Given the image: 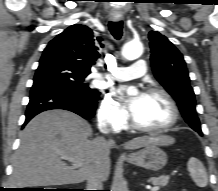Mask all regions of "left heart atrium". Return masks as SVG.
I'll return each mask as SVG.
<instances>
[{"mask_svg":"<svg viewBox=\"0 0 218 191\" xmlns=\"http://www.w3.org/2000/svg\"><path fill=\"white\" fill-rule=\"evenodd\" d=\"M118 92H119V94H120L121 96L124 95V89H120ZM144 96H145L144 93H140L137 97H135L134 99H132V100L128 103L129 109H130V111H131V113H132L133 115H134L135 112L137 111V109H138V107H139L141 101L143 100Z\"/></svg>","mask_w":218,"mask_h":191,"instance_id":"obj_1","label":"left heart atrium"}]
</instances>
